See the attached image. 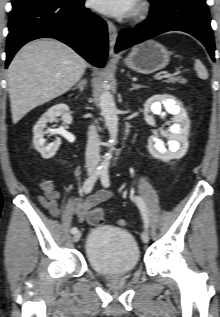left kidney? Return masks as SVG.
Returning <instances> with one entry per match:
<instances>
[{
  "mask_svg": "<svg viewBox=\"0 0 220 317\" xmlns=\"http://www.w3.org/2000/svg\"><path fill=\"white\" fill-rule=\"evenodd\" d=\"M162 104L168 113L175 115L173 117L174 124L168 130H160V134L169 140L168 149L163 141L156 135H152L148 139V150L153 157L163 161L180 159L186 154L189 146L190 122L186 111L181 108L176 98L168 94L153 95L144 105V119L148 125L154 126L155 119L149 113L160 114Z\"/></svg>",
  "mask_w": 220,
  "mask_h": 317,
  "instance_id": "1",
  "label": "left kidney"
}]
</instances>
